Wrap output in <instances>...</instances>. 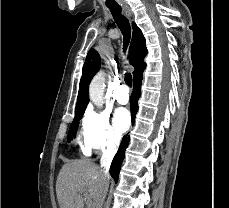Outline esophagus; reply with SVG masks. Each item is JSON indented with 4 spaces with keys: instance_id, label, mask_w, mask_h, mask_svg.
<instances>
[{
    "instance_id": "1",
    "label": "esophagus",
    "mask_w": 229,
    "mask_h": 208,
    "mask_svg": "<svg viewBox=\"0 0 229 208\" xmlns=\"http://www.w3.org/2000/svg\"><path fill=\"white\" fill-rule=\"evenodd\" d=\"M123 10L126 13V15L130 18L131 17V10H130V8L128 6H124Z\"/></svg>"
}]
</instances>
